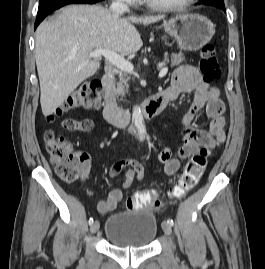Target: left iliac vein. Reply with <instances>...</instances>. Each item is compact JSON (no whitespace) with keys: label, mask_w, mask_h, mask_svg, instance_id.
Returning a JSON list of instances; mask_svg holds the SVG:
<instances>
[{"label":"left iliac vein","mask_w":265,"mask_h":269,"mask_svg":"<svg viewBox=\"0 0 265 269\" xmlns=\"http://www.w3.org/2000/svg\"><path fill=\"white\" fill-rule=\"evenodd\" d=\"M162 229L166 235H171L172 234V228L171 225L168 222H163L162 223Z\"/></svg>","instance_id":"left-iliac-vein-1"}]
</instances>
